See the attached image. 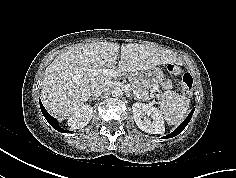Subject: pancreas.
Returning <instances> with one entry per match:
<instances>
[{"mask_svg":"<svg viewBox=\"0 0 236 178\" xmlns=\"http://www.w3.org/2000/svg\"><path fill=\"white\" fill-rule=\"evenodd\" d=\"M132 84L133 90L136 91L142 100H149L153 97V94L150 92V90H147L144 88L143 84L139 81L136 74L133 73H122Z\"/></svg>","mask_w":236,"mask_h":178,"instance_id":"pancreas-1","label":"pancreas"}]
</instances>
